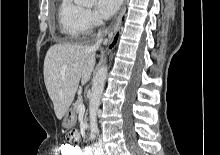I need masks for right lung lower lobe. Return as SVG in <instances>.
I'll return each mask as SVG.
<instances>
[{"mask_svg": "<svg viewBox=\"0 0 220 155\" xmlns=\"http://www.w3.org/2000/svg\"><path fill=\"white\" fill-rule=\"evenodd\" d=\"M118 35H116L114 42L112 43V45H110V48H112V46L115 44L116 40H117Z\"/></svg>", "mask_w": 220, "mask_h": 155, "instance_id": "right-lung-lower-lobe-1", "label": "right lung lower lobe"}]
</instances>
